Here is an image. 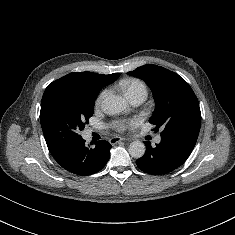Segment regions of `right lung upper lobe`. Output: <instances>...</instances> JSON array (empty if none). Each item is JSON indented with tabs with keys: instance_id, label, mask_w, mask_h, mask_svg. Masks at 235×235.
Here are the masks:
<instances>
[{
	"instance_id": "1",
	"label": "right lung upper lobe",
	"mask_w": 235,
	"mask_h": 235,
	"mask_svg": "<svg viewBox=\"0 0 235 235\" xmlns=\"http://www.w3.org/2000/svg\"><path fill=\"white\" fill-rule=\"evenodd\" d=\"M118 75L119 73L100 75L93 72H73L67 74L48 85L42 97V101L47 97L49 93L63 87L85 86L100 91L102 87L112 83L115 79H117ZM47 146L50 153L55 152L59 148L52 147L48 144Z\"/></svg>"
}]
</instances>
